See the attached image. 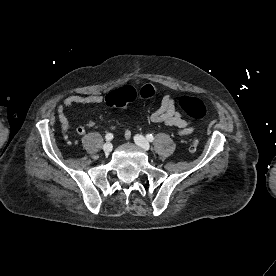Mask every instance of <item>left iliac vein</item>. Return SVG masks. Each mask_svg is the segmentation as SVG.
Listing matches in <instances>:
<instances>
[{
  "label": "left iliac vein",
  "instance_id": "obj_1",
  "mask_svg": "<svg viewBox=\"0 0 276 276\" xmlns=\"http://www.w3.org/2000/svg\"><path fill=\"white\" fill-rule=\"evenodd\" d=\"M137 145H139L141 148H143L145 151H148L150 148L149 142L146 140V138L140 134L135 135L134 138Z\"/></svg>",
  "mask_w": 276,
  "mask_h": 276
}]
</instances>
